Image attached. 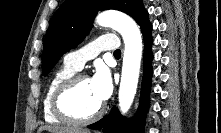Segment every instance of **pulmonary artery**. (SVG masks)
Listing matches in <instances>:
<instances>
[{
	"label": "pulmonary artery",
	"mask_w": 221,
	"mask_h": 133,
	"mask_svg": "<svg viewBox=\"0 0 221 133\" xmlns=\"http://www.w3.org/2000/svg\"><path fill=\"white\" fill-rule=\"evenodd\" d=\"M118 49L117 38L112 34H104L87 46L68 53L64 57V62L75 70H80L88 60L96 57L101 51H116Z\"/></svg>",
	"instance_id": "e3ab8cb5"
}]
</instances>
